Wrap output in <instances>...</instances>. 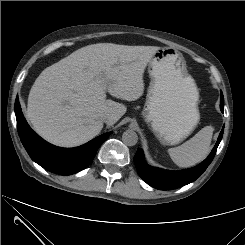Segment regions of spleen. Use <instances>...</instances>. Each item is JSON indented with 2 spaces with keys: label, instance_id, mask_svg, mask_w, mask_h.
I'll use <instances>...</instances> for the list:
<instances>
[{
  "label": "spleen",
  "instance_id": "spleen-1",
  "mask_svg": "<svg viewBox=\"0 0 245 245\" xmlns=\"http://www.w3.org/2000/svg\"><path fill=\"white\" fill-rule=\"evenodd\" d=\"M213 127L205 126L182 145L168 149L173 162L179 167L187 168L203 161L210 151Z\"/></svg>",
  "mask_w": 245,
  "mask_h": 245
}]
</instances>
